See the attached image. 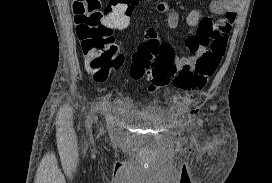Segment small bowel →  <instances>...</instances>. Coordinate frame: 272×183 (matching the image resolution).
Here are the masks:
<instances>
[{"label":"small bowel","instance_id":"small-bowel-1","mask_svg":"<svg viewBox=\"0 0 272 183\" xmlns=\"http://www.w3.org/2000/svg\"><path fill=\"white\" fill-rule=\"evenodd\" d=\"M210 11L218 18L203 16L199 10H191L185 17L186 33L182 40L185 49L192 55L176 59L178 69L192 67L197 59L206 52L207 45L211 40L219 37H227L236 19L240 2L239 0H210ZM156 9L167 14V25L170 29L178 25L179 16L170 8L167 2H159ZM144 41L159 40L157 30L148 27L143 33ZM107 76L96 78L103 81Z\"/></svg>","mask_w":272,"mask_h":183}]
</instances>
